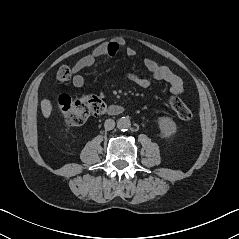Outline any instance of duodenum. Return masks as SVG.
<instances>
[{"label":"duodenum","mask_w":239,"mask_h":239,"mask_svg":"<svg viewBox=\"0 0 239 239\" xmlns=\"http://www.w3.org/2000/svg\"><path fill=\"white\" fill-rule=\"evenodd\" d=\"M105 111L111 115H116L122 113L123 109L118 105H111L105 108Z\"/></svg>","instance_id":"duodenum-1"}]
</instances>
